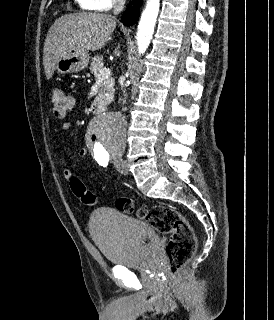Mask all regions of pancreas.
Listing matches in <instances>:
<instances>
[{"mask_svg": "<svg viewBox=\"0 0 274 320\" xmlns=\"http://www.w3.org/2000/svg\"><path fill=\"white\" fill-rule=\"evenodd\" d=\"M103 68V62L101 56H94L92 58V62L90 64L89 70H91L94 78H98L99 70H102ZM115 80L114 78H108V80H103L102 82V90L105 92V94H108L107 98H114V86ZM105 106H108L110 104V100H104Z\"/></svg>", "mask_w": 274, "mask_h": 320, "instance_id": "obj_1", "label": "pancreas"}]
</instances>
